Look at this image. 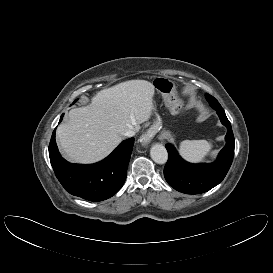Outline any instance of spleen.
Segmentation results:
<instances>
[{"mask_svg": "<svg viewBox=\"0 0 273 273\" xmlns=\"http://www.w3.org/2000/svg\"><path fill=\"white\" fill-rule=\"evenodd\" d=\"M212 149V143L206 140H184L180 143L181 156L191 162H202Z\"/></svg>", "mask_w": 273, "mask_h": 273, "instance_id": "3e777b00", "label": "spleen"}]
</instances>
